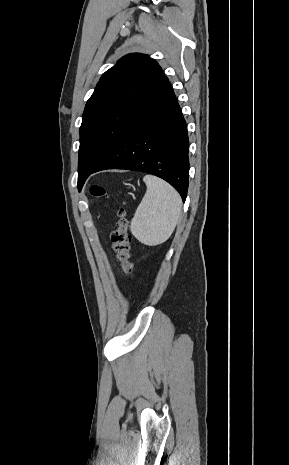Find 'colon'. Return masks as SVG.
I'll return each mask as SVG.
<instances>
[{
  "label": "colon",
  "mask_w": 289,
  "mask_h": 465,
  "mask_svg": "<svg viewBox=\"0 0 289 465\" xmlns=\"http://www.w3.org/2000/svg\"><path fill=\"white\" fill-rule=\"evenodd\" d=\"M89 193L96 199L109 198L106 191L98 185H92L89 188ZM129 229L130 220L128 214L124 208H119L117 212L116 229L111 234V241L123 272L130 278H134V263L131 261L130 252L132 237Z\"/></svg>",
  "instance_id": "1"
}]
</instances>
